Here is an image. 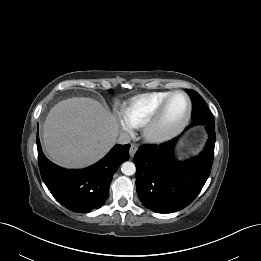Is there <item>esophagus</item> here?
Masks as SVG:
<instances>
[{"instance_id": "1", "label": "esophagus", "mask_w": 261, "mask_h": 261, "mask_svg": "<svg viewBox=\"0 0 261 261\" xmlns=\"http://www.w3.org/2000/svg\"><path fill=\"white\" fill-rule=\"evenodd\" d=\"M138 147L136 144H131V147H130V150H129V153H130V156L133 157L137 151Z\"/></svg>"}]
</instances>
